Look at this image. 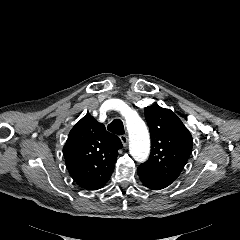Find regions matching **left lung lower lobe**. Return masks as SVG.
I'll return each instance as SVG.
<instances>
[{"mask_svg": "<svg viewBox=\"0 0 240 240\" xmlns=\"http://www.w3.org/2000/svg\"><path fill=\"white\" fill-rule=\"evenodd\" d=\"M137 172L143 185L151 190L165 189L174 182L144 163L137 168Z\"/></svg>", "mask_w": 240, "mask_h": 240, "instance_id": "0a47b994", "label": "left lung lower lobe"}]
</instances>
